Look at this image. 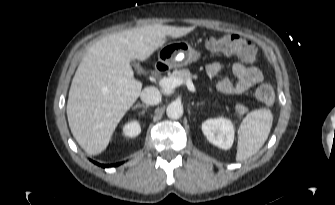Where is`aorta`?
<instances>
[{"mask_svg":"<svg viewBox=\"0 0 335 205\" xmlns=\"http://www.w3.org/2000/svg\"><path fill=\"white\" fill-rule=\"evenodd\" d=\"M166 114L171 119H179L183 115V106L180 102H172L167 106Z\"/></svg>","mask_w":335,"mask_h":205,"instance_id":"1","label":"aorta"}]
</instances>
